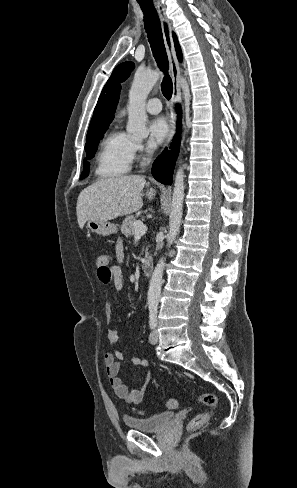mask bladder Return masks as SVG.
<instances>
[{
  "label": "bladder",
  "instance_id": "bladder-1",
  "mask_svg": "<svg viewBox=\"0 0 297 488\" xmlns=\"http://www.w3.org/2000/svg\"><path fill=\"white\" fill-rule=\"evenodd\" d=\"M174 417L172 412H161L147 418L124 416V424L129 429L142 432H158L166 428Z\"/></svg>",
  "mask_w": 297,
  "mask_h": 488
}]
</instances>
